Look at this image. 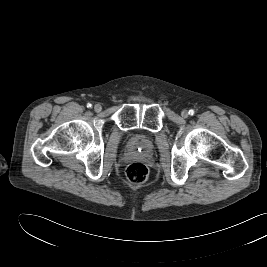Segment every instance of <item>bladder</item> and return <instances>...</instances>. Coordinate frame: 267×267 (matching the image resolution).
<instances>
[{
  "instance_id": "obj_1",
  "label": "bladder",
  "mask_w": 267,
  "mask_h": 267,
  "mask_svg": "<svg viewBox=\"0 0 267 267\" xmlns=\"http://www.w3.org/2000/svg\"><path fill=\"white\" fill-rule=\"evenodd\" d=\"M128 147L131 151L149 155L154 149V143L149 137L142 134H136L130 138Z\"/></svg>"
}]
</instances>
